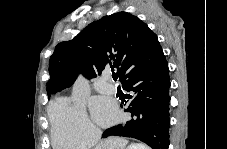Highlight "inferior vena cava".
<instances>
[{"mask_svg":"<svg viewBox=\"0 0 227 149\" xmlns=\"http://www.w3.org/2000/svg\"><path fill=\"white\" fill-rule=\"evenodd\" d=\"M100 136H101V132H100V131H98V132L96 133V135H95V139H99V138H100Z\"/></svg>","mask_w":227,"mask_h":149,"instance_id":"inferior-vena-cava-1","label":"inferior vena cava"}]
</instances>
